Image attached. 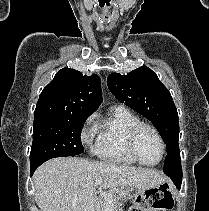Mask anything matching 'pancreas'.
Masks as SVG:
<instances>
[{
	"instance_id": "cf45deb5",
	"label": "pancreas",
	"mask_w": 209,
	"mask_h": 211,
	"mask_svg": "<svg viewBox=\"0 0 209 211\" xmlns=\"http://www.w3.org/2000/svg\"><path fill=\"white\" fill-rule=\"evenodd\" d=\"M109 193L112 195V204H113V209L114 211H121L123 205H124V199L122 195L114 190H110ZM106 200L104 198V193L100 195L98 199V205H99V211H105L106 207Z\"/></svg>"
}]
</instances>
